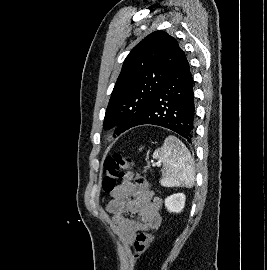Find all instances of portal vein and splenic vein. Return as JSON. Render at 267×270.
<instances>
[{
  "label": "portal vein and splenic vein",
  "instance_id": "obj_1",
  "mask_svg": "<svg viewBox=\"0 0 267 270\" xmlns=\"http://www.w3.org/2000/svg\"><path fill=\"white\" fill-rule=\"evenodd\" d=\"M156 165L159 166L160 165V162H157Z\"/></svg>",
  "mask_w": 267,
  "mask_h": 270
}]
</instances>
